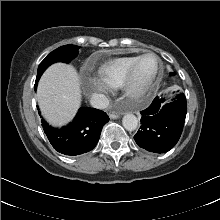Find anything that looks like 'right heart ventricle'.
<instances>
[{
	"mask_svg": "<svg viewBox=\"0 0 220 220\" xmlns=\"http://www.w3.org/2000/svg\"><path fill=\"white\" fill-rule=\"evenodd\" d=\"M139 56H124L109 60L97 68L100 79L112 88L123 86L127 73Z\"/></svg>",
	"mask_w": 220,
	"mask_h": 220,
	"instance_id": "e07e8e85",
	"label": "right heart ventricle"
}]
</instances>
